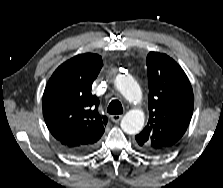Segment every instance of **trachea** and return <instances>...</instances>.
<instances>
[{
	"instance_id": "trachea-1",
	"label": "trachea",
	"mask_w": 223,
	"mask_h": 188,
	"mask_svg": "<svg viewBox=\"0 0 223 188\" xmlns=\"http://www.w3.org/2000/svg\"><path fill=\"white\" fill-rule=\"evenodd\" d=\"M109 114L118 115L123 113V107L120 101L112 100L107 108Z\"/></svg>"
}]
</instances>
